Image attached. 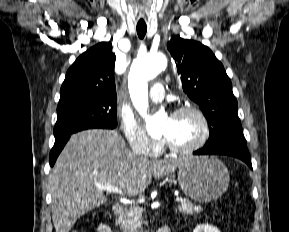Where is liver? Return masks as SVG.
Wrapping results in <instances>:
<instances>
[{
  "label": "liver",
  "instance_id": "6515ba94",
  "mask_svg": "<svg viewBox=\"0 0 289 232\" xmlns=\"http://www.w3.org/2000/svg\"><path fill=\"white\" fill-rule=\"evenodd\" d=\"M182 161L138 158L114 130L92 129L73 134L49 176L56 232H69L77 219L107 201L96 183L116 186L129 196L140 195L152 177L169 175Z\"/></svg>",
  "mask_w": 289,
  "mask_h": 232
}]
</instances>
